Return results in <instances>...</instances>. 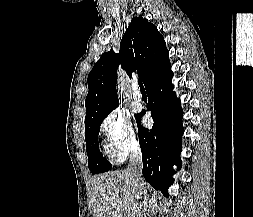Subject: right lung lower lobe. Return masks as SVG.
Listing matches in <instances>:
<instances>
[{"label": "right lung lower lobe", "instance_id": "98d812e1", "mask_svg": "<svg viewBox=\"0 0 253 217\" xmlns=\"http://www.w3.org/2000/svg\"><path fill=\"white\" fill-rule=\"evenodd\" d=\"M173 72L166 67L145 85L148 95L147 110L151 111L154 124L151 129L144 128L140 119L146 111L135 115L139 143L142 151L144 178L156 190L168 196V188L173 183V165L181 167V137L183 111L179 99L172 92Z\"/></svg>", "mask_w": 253, "mask_h": 217}]
</instances>
